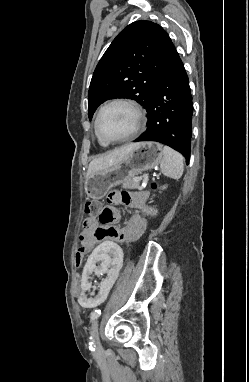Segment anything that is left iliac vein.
Wrapping results in <instances>:
<instances>
[{
	"mask_svg": "<svg viewBox=\"0 0 249 382\" xmlns=\"http://www.w3.org/2000/svg\"><path fill=\"white\" fill-rule=\"evenodd\" d=\"M91 335L93 344L96 350H101V344L99 340V333H98V322L94 321L91 325Z\"/></svg>",
	"mask_w": 249,
	"mask_h": 382,
	"instance_id": "obj_1",
	"label": "left iliac vein"
}]
</instances>
